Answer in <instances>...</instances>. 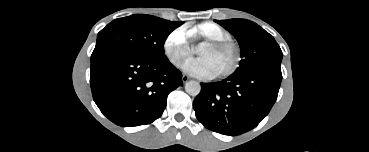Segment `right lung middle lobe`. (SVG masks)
Returning a JSON list of instances; mask_svg holds the SVG:
<instances>
[{
	"mask_svg": "<svg viewBox=\"0 0 369 152\" xmlns=\"http://www.w3.org/2000/svg\"><path fill=\"white\" fill-rule=\"evenodd\" d=\"M182 24L142 14L116 19L98 33L91 61L112 54L165 58V40Z\"/></svg>",
	"mask_w": 369,
	"mask_h": 152,
	"instance_id": "right-lung-middle-lobe-1",
	"label": "right lung middle lobe"
}]
</instances>
